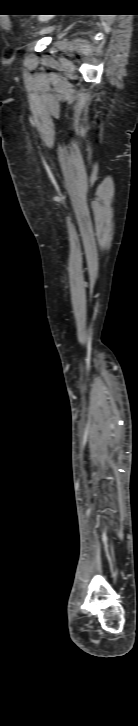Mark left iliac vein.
Returning <instances> with one entry per match:
<instances>
[{
  "label": "left iliac vein",
  "instance_id": "4c4485c4",
  "mask_svg": "<svg viewBox=\"0 0 138 726\" xmlns=\"http://www.w3.org/2000/svg\"><path fill=\"white\" fill-rule=\"evenodd\" d=\"M46 19H47L46 17H43V18H41V20H42V21H43V20H46ZM48 30H49V29L43 30V31H42V33H45V32H47Z\"/></svg>",
  "mask_w": 138,
  "mask_h": 726
}]
</instances>
